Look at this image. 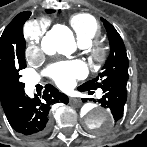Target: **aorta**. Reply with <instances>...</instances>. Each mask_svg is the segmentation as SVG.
Returning a JSON list of instances; mask_svg holds the SVG:
<instances>
[{"instance_id":"aorta-1","label":"aorta","mask_w":147,"mask_h":147,"mask_svg":"<svg viewBox=\"0 0 147 147\" xmlns=\"http://www.w3.org/2000/svg\"><path fill=\"white\" fill-rule=\"evenodd\" d=\"M42 50L47 55L61 53L69 55L76 49L73 34L66 27H58L49 31L42 39ZM81 115L86 125L93 130H106L113 124L112 114L103 107L84 104Z\"/></svg>"}]
</instances>
